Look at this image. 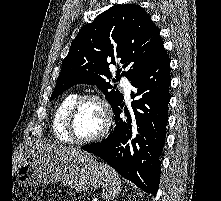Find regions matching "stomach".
<instances>
[{
	"instance_id": "obj_1",
	"label": "stomach",
	"mask_w": 221,
	"mask_h": 201,
	"mask_svg": "<svg viewBox=\"0 0 221 201\" xmlns=\"http://www.w3.org/2000/svg\"><path fill=\"white\" fill-rule=\"evenodd\" d=\"M17 179L21 185L61 182L76 191H87L106 181L101 164L82 151L60 153L36 150L22 162Z\"/></svg>"
}]
</instances>
